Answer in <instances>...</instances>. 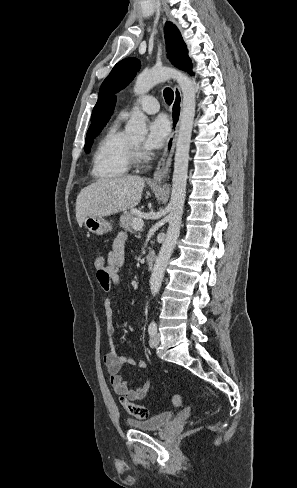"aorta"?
<instances>
[{"instance_id":"762f6f07","label":"aorta","mask_w":297,"mask_h":488,"mask_svg":"<svg viewBox=\"0 0 297 488\" xmlns=\"http://www.w3.org/2000/svg\"><path fill=\"white\" fill-rule=\"evenodd\" d=\"M169 79H174L179 84L182 91V108L176 142L172 193L169 203V226L150 277V290L153 295H156L160 290L165 269L180 234V224L186 196L191 134L195 117L196 90L191 79L183 73L168 67H154L149 71L140 73L134 86V93L142 95L147 93L154 85ZM125 130L129 134L138 136L147 133L146 116L138 107L133 108Z\"/></svg>"}]
</instances>
